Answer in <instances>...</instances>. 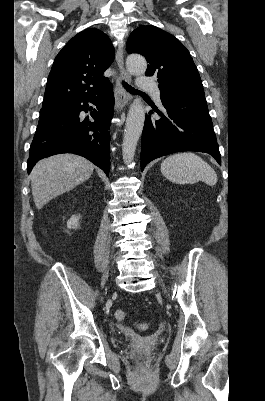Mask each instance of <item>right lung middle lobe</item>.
<instances>
[{
    "label": "right lung middle lobe",
    "instance_id": "1",
    "mask_svg": "<svg viewBox=\"0 0 265 401\" xmlns=\"http://www.w3.org/2000/svg\"><path fill=\"white\" fill-rule=\"evenodd\" d=\"M74 102H67V103H57L51 104L47 106H42L40 113H43L48 110H56V109H67L69 108Z\"/></svg>",
    "mask_w": 265,
    "mask_h": 401
}]
</instances>
